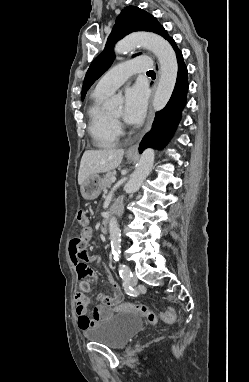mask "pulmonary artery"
<instances>
[{"mask_svg":"<svg viewBox=\"0 0 249 382\" xmlns=\"http://www.w3.org/2000/svg\"><path fill=\"white\" fill-rule=\"evenodd\" d=\"M150 68V59L146 57H138L118 63L99 80L96 90L111 94L133 73L149 70Z\"/></svg>","mask_w":249,"mask_h":382,"instance_id":"pulmonary-artery-1","label":"pulmonary artery"}]
</instances>
